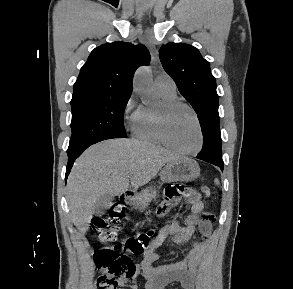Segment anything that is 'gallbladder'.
<instances>
[{
  "mask_svg": "<svg viewBox=\"0 0 293 289\" xmlns=\"http://www.w3.org/2000/svg\"><path fill=\"white\" fill-rule=\"evenodd\" d=\"M112 201L113 197L109 195H103L100 198H98L94 208L95 215L102 216L110 207Z\"/></svg>",
  "mask_w": 293,
  "mask_h": 289,
  "instance_id": "gallbladder-1",
  "label": "gallbladder"
}]
</instances>
